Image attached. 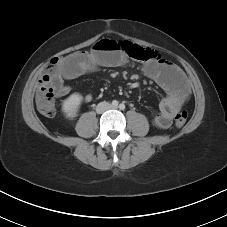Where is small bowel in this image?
<instances>
[{
    "label": "small bowel",
    "instance_id": "obj_1",
    "mask_svg": "<svg viewBox=\"0 0 227 227\" xmlns=\"http://www.w3.org/2000/svg\"><path fill=\"white\" fill-rule=\"evenodd\" d=\"M128 54L117 42L110 39L98 41L90 50L79 51L62 58L51 76L55 94L59 97L68 95L70 86L65 80L75 79L86 73L94 72L99 67H118L126 63ZM145 74L156 82L165 92L159 104L158 113L152 123L159 129H167L173 116L181 109L188 98L186 78L182 70L173 63L158 58L144 65ZM91 94L81 96L85 103L92 100Z\"/></svg>",
    "mask_w": 227,
    "mask_h": 227
}]
</instances>
